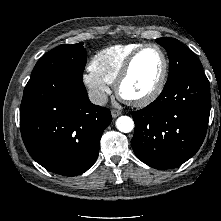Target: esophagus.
<instances>
[{
	"mask_svg": "<svg viewBox=\"0 0 221 221\" xmlns=\"http://www.w3.org/2000/svg\"><path fill=\"white\" fill-rule=\"evenodd\" d=\"M111 115H112L113 118H116V117H118V116L121 115V111H119V110H117V109H113V110L111 111Z\"/></svg>",
	"mask_w": 221,
	"mask_h": 221,
	"instance_id": "esophagus-1",
	"label": "esophagus"
}]
</instances>
